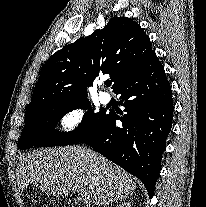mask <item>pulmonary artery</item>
<instances>
[{
	"instance_id": "pulmonary-artery-1",
	"label": "pulmonary artery",
	"mask_w": 206,
	"mask_h": 207,
	"mask_svg": "<svg viewBox=\"0 0 206 207\" xmlns=\"http://www.w3.org/2000/svg\"><path fill=\"white\" fill-rule=\"evenodd\" d=\"M100 101L103 104H108L111 101V95L108 92H101Z\"/></svg>"
}]
</instances>
